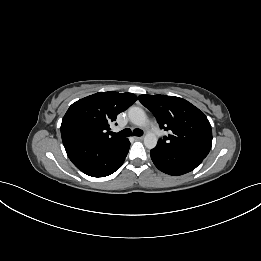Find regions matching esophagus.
<instances>
[{
	"instance_id": "esophagus-1",
	"label": "esophagus",
	"mask_w": 261,
	"mask_h": 261,
	"mask_svg": "<svg viewBox=\"0 0 261 261\" xmlns=\"http://www.w3.org/2000/svg\"><path fill=\"white\" fill-rule=\"evenodd\" d=\"M134 139L137 140V141H141V140H143V137L142 136H140V137L139 136H135Z\"/></svg>"
}]
</instances>
